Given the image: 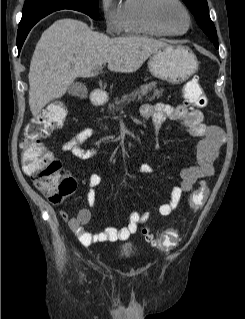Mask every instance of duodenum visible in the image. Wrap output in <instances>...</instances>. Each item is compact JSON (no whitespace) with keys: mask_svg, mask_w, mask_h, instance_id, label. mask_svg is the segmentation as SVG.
<instances>
[{"mask_svg":"<svg viewBox=\"0 0 245 319\" xmlns=\"http://www.w3.org/2000/svg\"><path fill=\"white\" fill-rule=\"evenodd\" d=\"M90 102L92 105L100 106L104 102V96L101 91L94 90L90 95Z\"/></svg>","mask_w":245,"mask_h":319,"instance_id":"duodenum-1","label":"duodenum"}]
</instances>
